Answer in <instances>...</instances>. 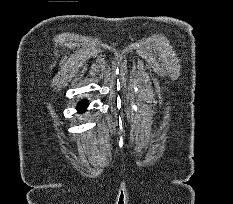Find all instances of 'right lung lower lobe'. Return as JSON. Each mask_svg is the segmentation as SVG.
<instances>
[{
  "mask_svg": "<svg viewBox=\"0 0 233 204\" xmlns=\"http://www.w3.org/2000/svg\"><path fill=\"white\" fill-rule=\"evenodd\" d=\"M86 106H87L86 102H81L79 104V111L82 112L85 109Z\"/></svg>",
  "mask_w": 233,
  "mask_h": 204,
  "instance_id": "obj_1",
  "label": "right lung lower lobe"
}]
</instances>
